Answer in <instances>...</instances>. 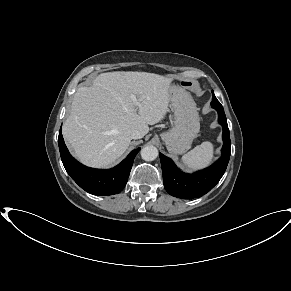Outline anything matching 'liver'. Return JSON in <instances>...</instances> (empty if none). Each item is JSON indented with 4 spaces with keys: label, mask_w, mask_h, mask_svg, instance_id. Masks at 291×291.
Listing matches in <instances>:
<instances>
[{
    "label": "liver",
    "mask_w": 291,
    "mask_h": 291,
    "mask_svg": "<svg viewBox=\"0 0 291 291\" xmlns=\"http://www.w3.org/2000/svg\"><path fill=\"white\" fill-rule=\"evenodd\" d=\"M170 87L169 78L153 73H102L93 86L76 91L63 136L82 163L109 166L126 152L134 130L146 135L148 125L164 119Z\"/></svg>",
    "instance_id": "1"
}]
</instances>
